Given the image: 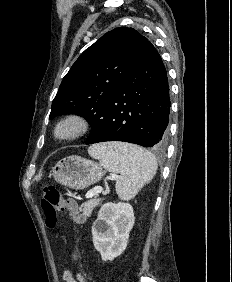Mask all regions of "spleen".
<instances>
[{
	"instance_id": "spleen-1",
	"label": "spleen",
	"mask_w": 232,
	"mask_h": 282,
	"mask_svg": "<svg viewBox=\"0 0 232 282\" xmlns=\"http://www.w3.org/2000/svg\"><path fill=\"white\" fill-rule=\"evenodd\" d=\"M88 152L107 171L120 173L115 188L119 198L126 201L153 179L158 168L157 160L151 152L132 144H98L91 146Z\"/></svg>"
}]
</instances>
